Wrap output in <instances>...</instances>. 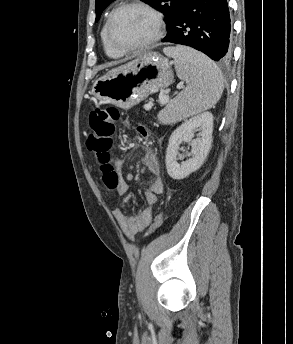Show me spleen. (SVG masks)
Wrapping results in <instances>:
<instances>
[{"label":"spleen","instance_id":"1","mask_svg":"<svg viewBox=\"0 0 293 344\" xmlns=\"http://www.w3.org/2000/svg\"><path fill=\"white\" fill-rule=\"evenodd\" d=\"M163 52L174 59L175 69L187 87L159 112L163 124H175L214 106L224 89V78L206 55L189 47H166Z\"/></svg>","mask_w":293,"mask_h":344}]
</instances>
